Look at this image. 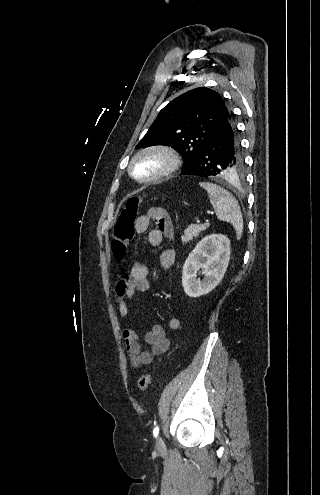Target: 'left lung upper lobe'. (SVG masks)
I'll return each mask as SVG.
<instances>
[{"label": "left lung upper lobe", "instance_id": "1", "mask_svg": "<svg viewBox=\"0 0 320 495\" xmlns=\"http://www.w3.org/2000/svg\"><path fill=\"white\" fill-rule=\"evenodd\" d=\"M230 115L217 92L205 87L190 90L159 112L136 148L170 145L179 151L184 161L183 169H186ZM242 167L241 157L233 168H226L219 177L235 175Z\"/></svg>", "mask_w": 320, "mask_h": 495}]
</instances>
